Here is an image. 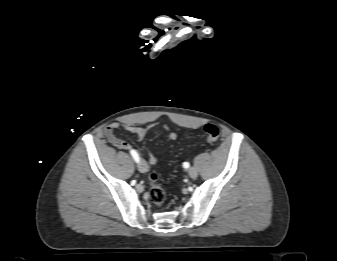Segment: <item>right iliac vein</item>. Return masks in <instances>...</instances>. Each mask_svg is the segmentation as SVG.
<instances>
[{
	"label": "right iliac vein",
	"mask_w": 337,
	"mask_h": 261,
	"mask_svg": "<svg viewBox=\"0 0 337 261\" xmlns=\"http://www.w3.org/2000/svg\"><path fill=\"white\" fill-rule=\"evenodd\" d=\"M137 168L141 173L148 171V166L143 160L138 163Z\"/></svg>",
	"instance_id": "1"
}]
</instances>
